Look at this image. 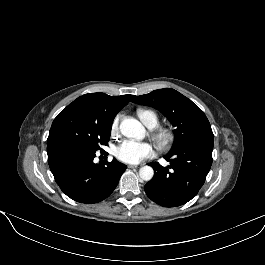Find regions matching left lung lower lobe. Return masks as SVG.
<instances>
[{
    "label": "left lung lower lobe",
    "instance_id": "obj_1",
    "mask_svg": "<svg viewBox=\"0 0 265 265\" xmlns=\"http://www.w3.org/2000/svg\"><path fill=\"white\" fill-rule=\"evenodd\" d=\"M213 145V132L202 133L169 152L164 157L169 166L150 163L154 177L144 187L147 196L164 207H177L194 198L211 168Z\"/></svg>",
    "mask_w": 265,
    "mask_h": 265
}]
</instances>
